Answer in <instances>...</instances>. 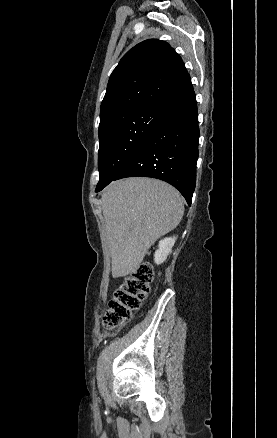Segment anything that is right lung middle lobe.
<instances>
[{
    "instance_id": "right-lung-middle-lobe-1",
    "label": "right lung middle lobe",
    "mask_w": 277,
    "mask_h": 438,
    "mask_svg": "<svg viewBox=\"0 0 277 438\" xmlns=\"http://www.w3.org/2000/svg\"><path fill=\"white\" fill-rule=\"evenodd\" d=\"M164 110L139 115H115L100 121L99 175L97 186L110 183L143 145Z\"/></svg>"
}]
</instances>
